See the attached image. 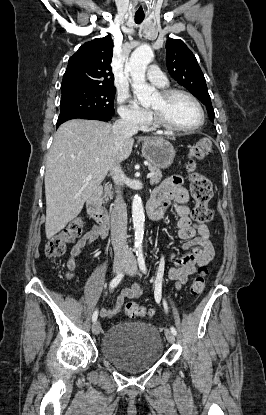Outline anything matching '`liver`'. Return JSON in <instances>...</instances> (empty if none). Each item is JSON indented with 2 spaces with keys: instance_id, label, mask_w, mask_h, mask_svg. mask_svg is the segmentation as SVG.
<instances>
[{
  "instance_id": "liver-1",
  "label": "liver",
  "mask_w": 266,
  "mask_h": 415,
  "mask_svg": "<svg viewBox=\"0 0 266 415\" xmlns=\"http://www.w3.org/2000/svg\"><path fill=\"white\" fill-rule=\"evenodd\" d=\"M112 127L101 121L73 119L55 133L45 171L47 239L76 218L113 166L130 156L134 140L129 136L117 147ZM88 175L90 180H86Z\"/></svg>"
}]
</instances>
